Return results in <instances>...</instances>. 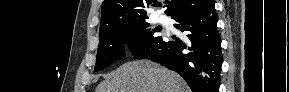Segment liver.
<instances>
[{"mask_svg":"<svg viewBox=\"0 0 289 92\" xmlns=\"http://www.w3.org/2000/svg\"><path fill=\"white\" fill-rule=\"evenodd\" d=\"M96 92H189L177 73L148 61H132L108 74Z\"/></svg>","mask_w":289,"mask_h":92,"instance_id":"6515ba94","label":"liver"}]
</instances>
